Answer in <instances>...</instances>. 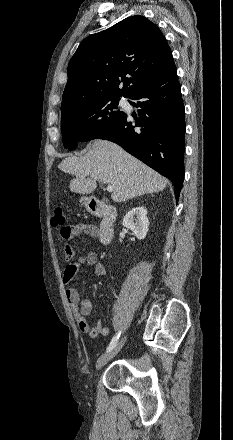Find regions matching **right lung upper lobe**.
I'll list each match as a JSON object with an SVG mask.
<instances>
[{"mask_svg":"<svg viewBox=\"0 0 233 440\" xmlns=\"http://www.w3.org/2000/svg\"><path fill=\"white\" fill-rule=\"evenodd\" d=\"M175 67L160 29L143 16L126 18L81 42L68 64L61 109L95 98L130 97Z\"/></svg>","mask_w":233,"mask_h":440,"instance_id":"1","label":"right lung upper lobe"}]
</instances>
